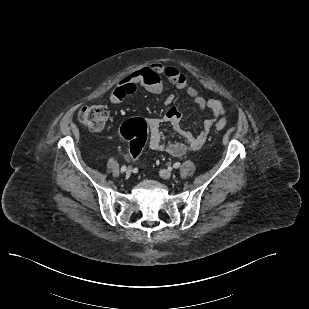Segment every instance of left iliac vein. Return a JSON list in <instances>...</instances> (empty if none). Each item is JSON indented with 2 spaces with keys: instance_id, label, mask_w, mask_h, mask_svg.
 Returning <instances> with one entry per match:
<instances>
[{
  "instance_id": "1",
  "label": "left iliac vein",
  "mask_w": 309,
  "mask_h": 309,
  "mask_svg": "<svg viewBox=\"0 0 309 309\" xmlns=\"http://www.w3.org/2000/svg\"><path fill=\"white\" fill-rule=\"evenodd\" d=\"M159 175H160L163 179H170V178L172 177L171 171L166 170V169L160 170Z\"/></svg>"
}]
</instances>
